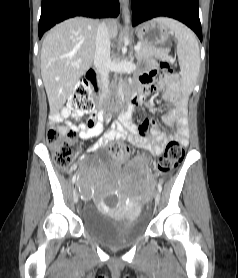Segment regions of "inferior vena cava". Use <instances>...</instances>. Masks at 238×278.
<instances>
[{"label": "inferior vena cava", "mask_w": 238, "mask_h": 278, "mask_svg": "<svg viewBox=\"0 0 238 278\" xmlns=\"http://www.w3.org/2000/svg\"><path fill=\"white\" fill-rule=\"evenodd\" d=\"M110 64V35L107 25L103 22L97 29L94 66L100 76L101 96L104 100L109 97Z\"/></svg>", "instance_id": "inferior-vena-cava-1"}]
</instances>
